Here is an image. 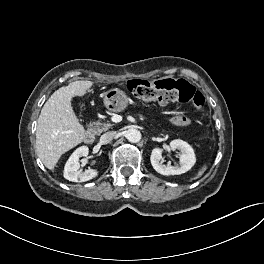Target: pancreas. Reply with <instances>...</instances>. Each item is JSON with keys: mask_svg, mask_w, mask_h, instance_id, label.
<instances>
[{"mask_svg": "<svg viewBox=\"0 0 264 264\" xmlns=\"http://www.w3.org/2000/svg\"><path fill=\"white\" fill-rule=\"evenodd\" d=\"M113 126H114V124L111 123L110 121H107V122L96 121V122H93L92 124H90L91 130L95 134H100L104 131H107Z\"/></svg>", "mask_w": 264, "mask_h": 264, "instance_id": "pancreas-1", "label": "pancreas"}]
</instances>
